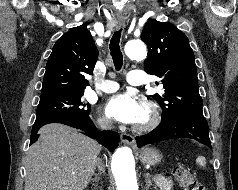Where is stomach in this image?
<instances>
[{"instance_id":"0dacf381","label":"stomach","mask_w":238,"mask_h":190,"mask_svg":"<svg viewBox=\"0 0 238 190\" xmlns=\"http://www.w3.org/2000/svg\"><path fill=\"white\" fill-rule=\"evenodd\" d=\"M139 159L146 165H157L162 160V154L154 148H144L139 153Z\"/></svg>"}]
</instances>
